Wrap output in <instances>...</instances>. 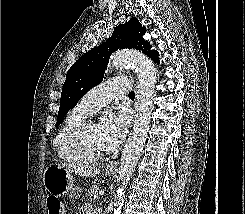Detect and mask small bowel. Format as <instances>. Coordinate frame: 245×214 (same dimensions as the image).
Here are the masks:
<instances>
[{
    "mask_svg": "<svg viewBox=\"0 0 245 214\" xmlns=\"http://www.w3.org/2000/svg\"><path fill=\"white\" fill-rule=\"evenodd\" d=\"M79 214H103V212L99 209L93 208L89 204H86L80 209Z\"/></svg>",
    "mask_w": 245,
    "mask_h": 214,
    "instance_id": "small-bowel-1",
    "label": "small bowel"
}]
</instances>
